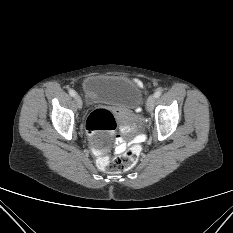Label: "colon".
Returning <instances> with one entry per match:
<instances>
[{"instance_id": "5ec220e1", "label": "colon", "mask_w": 233, "mask_h": 233, "mask_svg": "<svg viewBox=\"0 0 233 233\" xmlns=\"http://www.w3.org/2000/svg\"><path fill=\"white\" fill-rule=\"evenodd\" d=\"M116 119L112 112L106 109H96L90 113L86 121V130L90 135L104 132L111 135L116 129ZM141 148L136 145L122 155L110 160L101 151L94 150L97 165L109 173H121L131 169L139 158Z\"/></svg>"}]
</instances>
